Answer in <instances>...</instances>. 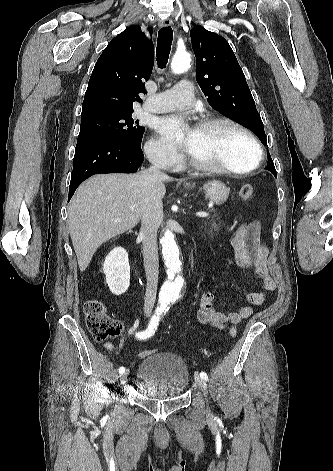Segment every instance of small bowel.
<instances>
[{
  "instance_id": "1",
  "label": "small bowel",
  "mask_w": 333,
  "mask_h": 471,
  "mask_svg": "<svg viewBox=\"0 0 333 471\" xmlns=\"http://www.w3.org/2000/svg\"><path fill=\"white\" fill-rule=\"evenodd\" d=\"M261 227L256 221L244 224L237 229L231 238L230 244L233 250L234 261L241 268L252 269L260 280L262 292H248L244 300L249 305L241 306L237 311L224 313L214 306L215 296L210 291L202 293L199 301L197 319L202 325L223 330L227 324H239L253 314L252 306H260L264 303L266 293L275 290L276 283L269 275L267 258L268 249L260 240ZM108 351L114 347L110 342L104 344Z\"/></svg>"
}]
</instances>
